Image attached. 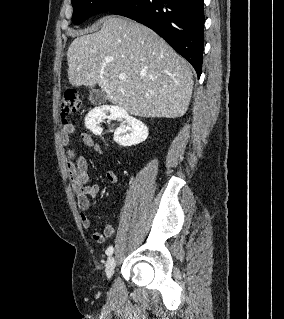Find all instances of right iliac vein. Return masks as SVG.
<instances>
[{
	"label": "right iliac vein",
	"mask_w": 284,
	"mask_h": 319,
	"mask_svg": "<svg viewBox=\"0 0 284 319\" xmlns=\"http://www.w3.org/2000/svg\"><path fill=\"white\" fill-rule=\"evenodd\" d=\"M116 266V260L113 256H110L106 262L105 274L107 279H110L114 273V269Z\"/></svg>",
	"instance_id": "63e3f726"
}]
</instances>
